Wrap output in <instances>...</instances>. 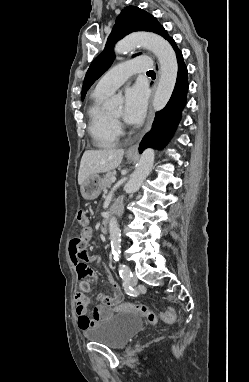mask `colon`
Segmentation results:
<instances>
[{"instance_id": "obj_1", "label": "colon", "mask_w": 249, "mask_h": 382, "mask_svg": "<svg viewBox=\"0 0 249 382\" xmlns=\"http://www.w3.org/2000/svg\"><path fill=\"white\" fill-rule=\"evenodd\" d=\"M77 220L82 227V232L88 228L89 215L85 210H80L77 214ZM77 241H83V238H79ZM85 250V247H84ZM86 252V250H85ZM80 262V261H79ZM76 271L78 274L77 280L81 281L87 277L88 282H96L97 276L94 269H90L85 262H80L76 266ZM98 299L101 305L114 308L116 311H133L140 314L148 323H156L162 320L166 323H173L176 321V314L173 309L169 308L167 311L157 314L152 310L148 309L146 306L141 304H131L122 302V296L115 293L113 296L100 294Z\"/></svg>"}]
</instances>
